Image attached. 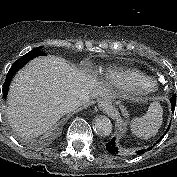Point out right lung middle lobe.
I'll list each match as a JSON object with an SVG mask.
<instances>
[{
    "instance_id": "obj_1",
    "label": "right lung middle lobe",
    "mask_w": 177,
    "mask_h": 177,
    "mask_svg": "<svg viewBox=\"0 0 177 177\" xmlns=\"http://www.w3.org/2000/svg\"><path fill=\"white\" fill-rule=\"evenodd\" d=\"M42 47H38V48H36L35 50H39V49H41ZM34 50V49H33Z\"/></svg>"
}]
</instances>
